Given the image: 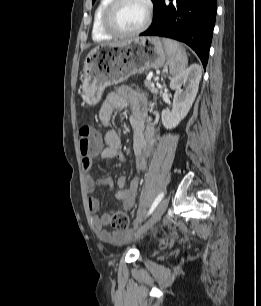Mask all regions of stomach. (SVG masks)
<instances>
[{"mask_svg":"<svg viewBox=\"0 0 261 306\" xmlns=\"http://www.w3.org/2000/svg\"><path fill=\"white\" fill-rule=\"evenodd\" d=\"M167 61L165 46L158 37H136L96 47L84 63L82 98L88 104H96L106 87L121 83L135 73L158 69Z\"/></svg>","mask_w":261,"mask_h":306,"instance_id":"stomach-1","label":"stomach"}]
</instances>
